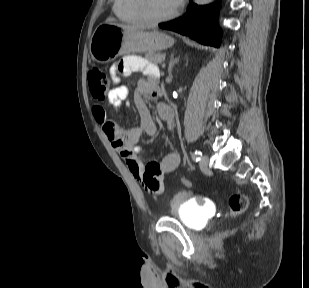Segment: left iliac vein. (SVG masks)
Masks as SVG:
<instances>
[{"mask_svg":"<svg viewBox=\"0 0 309 288\" xmlns=\"http://www.w3.org/2000/svg\"><path fill=\"white\" fill-rule=\"evenodd\" d=\"M208 161H209V157L207 155L202 156L199 162V166L202 171L208 170Z\"/></svg>","mask_w":309,"mask_h":288,"instance_id":"obj_1","label":"left iliac vein"}]
</instances>
